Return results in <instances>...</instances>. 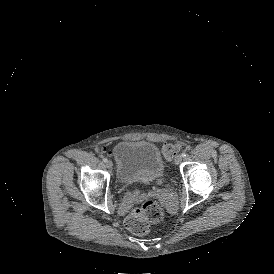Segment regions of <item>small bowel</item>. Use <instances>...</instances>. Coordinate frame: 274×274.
<instances>
[{
    "label": "small bowel",
    "instance_id": "obj_1",
    "mask_svg": "<svg viewBox=\"0 0 274 274\" xmlns=\"http://www.w3.org/2000/svg\"><path fill=\"white\" fill-rule=\"evenodd\" d=\"M173 146H174V145H173ZM100 151L105 152V151H106V147H105V146L101 147V148H100Z\"/></svg>",
    "mask_w": 274,
    "mask_h": 274
}]
</instances>
